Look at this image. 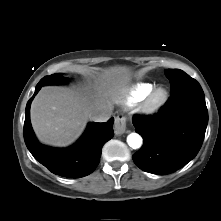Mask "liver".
Returning a JSON list of instances; mask_svg holds the SVG:
<instances>
[{
    "label": "liver",
    "mask_w": 221,
    "mask_h": 221,
    "mask_svg": "<svg viewBox=\"0 0 221 221\" xmlns=\"http://www.w3.org/2000/svg\"><path fill=\"white\" fill-rule=\"evenodd\" d=\"M130 80L126 67H112L99 76L93 92H75L60 87H44L31 105V123L40 142L65 147L83 132L91 114L111 108L113 99Z\"/></svg>",
    "instance_id": "obj_1"
}]
</instances>
